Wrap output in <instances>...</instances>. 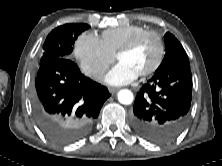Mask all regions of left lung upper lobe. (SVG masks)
I'll return each mask as SVG.
<instances>
[{"instance_id":"5c2ea615","label":"left lung upper lobe","mask_w":222,"mask_h":166,"mask_svg":"<svg viewBox=\"0 0 222 166\" xmlns=\"http://www.w3.org/2000/svg\"><path fill=\"white\" fill-rule=\"evenodd\" d=\"M166 54L155 74H161L171 69L190 68L188 56L180 42L171 33L164 35Z\"/></svg>"}]
</instances>
